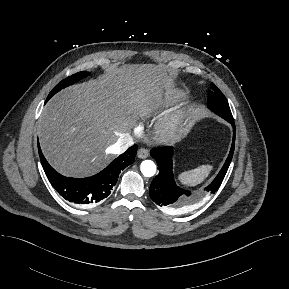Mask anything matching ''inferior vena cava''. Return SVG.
Listing matches in <instances>:
<instances>
[{"label": "inferior vena cava", "instance_id": "obj_1", "mask_svg": "<svg viewBox=\"0 0 289 289\" xmlns=\"http://www.w3.org/2000/svg\"><path fill=\"white\" fill-rule=\"evenodd\" d=\"M133 144H134L133 137L128 133H123L118 138L117 142L111 146V152L114 154L122 153Z\"/></svg>", "mask_w": 289, "mask_h": 289}]
</instances>
